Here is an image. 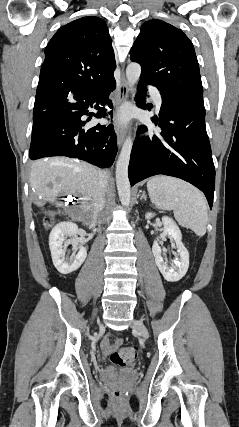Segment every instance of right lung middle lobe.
Here are the masks:
<instances>
[{
    "label": "right lung middle lobe",
    "mask_w": 239,
    "mask_h": 427,
    "mask_svg": "<svg viewBox=\"0 0 239 427\" xmlns=\"http://www.w3.org/2000/svg\"><path fill=\"white\" fill-rule=\"evenodd\" d=\"M49 99L35 100L33 120L42 112V110L48 105Z\"/></svg>",
    "instance_id": "dd1d6c3e"
}]
</instances>
